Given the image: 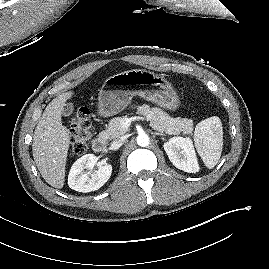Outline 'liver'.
Segmentation results:
<instances>
[{
	"label": "liver",
	"mask_w": 269,
	"mask_h": 269,
	"mask_svg": "<svg viewBox=\"0 0 269 269\" xmlns=\"http://www.w3.org/2000/svg\"><path fill=\"white\" fill-rule=\"evenodd\" d=\"M74 95L65 92L54 98L45 108L33 135L32 152L36 166L44 180L61 189L65 182V169L70 135L62 125L61 115L66 101Z\"/></svg>",
	"instance_id": "obj_1"
}]
</instances>
